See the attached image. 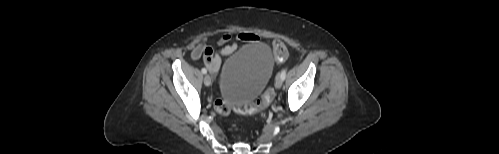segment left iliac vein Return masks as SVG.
Returning <instances> with one entry per match:
<instances>
[{
  "mask_svg": "<svg viewBox=\"0 0 499 154\" xmlns=\"http://www.w3.org/2000/svg\"><path fill=\"white\" fill-rule=\"evenodd\" d=\"M282 84H283V80H282V78H281V75H280V74H278V75L276 76V79H275V87H276V88H278V89H280V88H281V86H282Z\"/></svg>",
  "mask_w": 499,
  "mask_h": 154,
  "instance_id": "4c4485c4",
  "label": "left iliac vein"
}]
</instances>
